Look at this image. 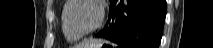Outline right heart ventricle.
I'll use <instances>...</instances> for the list:
<instances>
[{
    "label": "right heart ventricle",
    "instance_id": "obj_1",
    "mask_svg": "<svg viewBox=\"0 0 213 48\" xmlns=\"http://www.w3.org/2000/svg\"><path fill=\"white\" fill-rule=\"evenodd\" d=\"M63 12H64V9H63ZM63 14V13H62ZM61 29H62V32H63V35L65 36L66 40L68 42H76L79 38L78 37H75V36H72L70 35L63 27V24L61 26Z\"/></svg>",
    "mask_w": 213,
    "mask_h": 48
}]
</instances>
